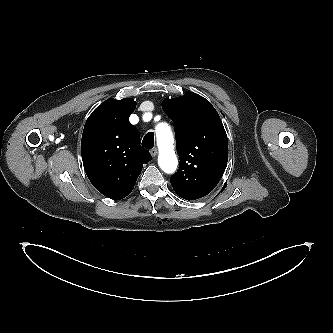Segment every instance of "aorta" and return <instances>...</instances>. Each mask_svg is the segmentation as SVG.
I'll return each instance as SVG.
<instances>
[{
  "label": "aorta",
  "mask_w": 333,
  "mask_h": 333,
  "mask_svg": "<svg viewBox=\"0 0 333 333\" xmlns=\"http://www.w3.org/2000/svg\"><path fill=\"white\" fill-rule=\"evenodd\" d=\"M159 148L158 164L166 173H173L177 168V157L173 148L174 139L168 124L160 123L156 127Z\"/></svg>",
  "instance_id": "obj_1"
}]
</instances>
